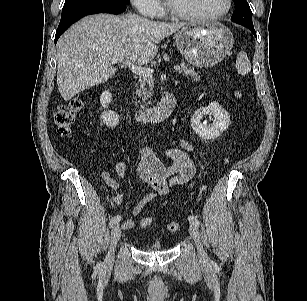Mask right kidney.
<instances>
[{"mask_svg":"<svg viewBox=\"0 0 307 301\" xmlns=\"http://www.w3.org/2000/svg\"><path fill=\"white\" fill-rule=\"evenodd\" d=\"M111 99H112V94L108 90L104 91L100 97V103L102 107L106 108L111 102ZM100 119L104 124H106V126L110 128H114L119 123V115L111 110L104 111L101 114Z\"/></svg>","mask_w":307,"mask_h":301,"instance_id":"obj_1","label":"right kidney"}]
</instances>
